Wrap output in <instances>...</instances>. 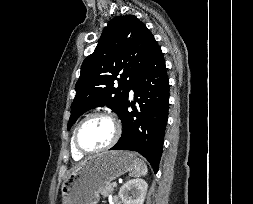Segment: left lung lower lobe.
<instances>
[{
    "mask_svg": "<svg viewBox=\"0 0 253 204\" xmlns=\"http://www.w3.org/2000/svg\"><path fill=\"white\" fill-rule=\"evenodd\" d=\"M135 102L128 111L126 101L119 118L122 135L110 150H131L142 154L157 172L163 150V140L168 119L169 79L163 53L158 44L150 55L138 77L132 83Z\"/></svg>",
    "mask_w": 253,
    "mask_h": 204,
    "instance_id": "left-lung-lower-lobe-1",
    "label": "left lung lower lobe"
}]
</instances>
